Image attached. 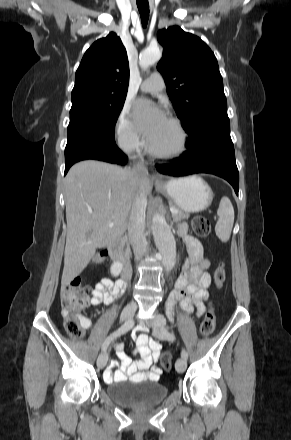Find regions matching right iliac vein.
<instances>
[{
    "label": "right iliac vein",
    "mask_w": 291,
    "mask_h": 440,
    "mask_svg": "<svg viewBox=\"0 0 291 440\" xmlns=\"http://www.w3.org/2000/svg\"><path fill=\"white\" fill-rule=\"evenodd\" d=\"M136 310H137V304L135 302H130L129 304H127L121 313V317H120L121 321H127L128 319H130ZM107 360H108L107 352L103 351L97 358V366L101 369L104 368V366L107 363Z\"/></svg>",
    "instance_id": "1"
}]
</instances>
